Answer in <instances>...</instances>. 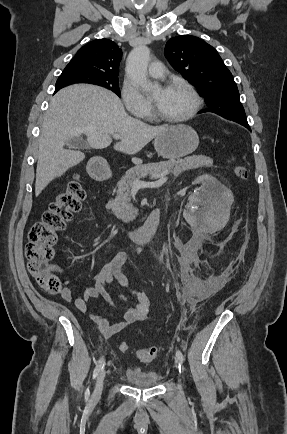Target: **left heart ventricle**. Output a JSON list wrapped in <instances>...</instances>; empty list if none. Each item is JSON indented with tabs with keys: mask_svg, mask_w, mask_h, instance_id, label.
<instances>
[{
	"mask_svg": "<svg viewBox=\"0 0 287 434\" xmlns=\"http://www.w3.org/2000/svg\"><path fill=\"white\" fill-rule=\"evenodd\" d=\"M158 110L165 116L184 115L191 107L192 99L188 92L179 87L158 90L154 96Z\"/></svg>",
	"mask_w": 287,
	"mask_h": 434,
	"instance_id": "1",
	"label": "left heart ventricle"
}]
</instances>
